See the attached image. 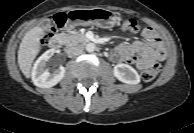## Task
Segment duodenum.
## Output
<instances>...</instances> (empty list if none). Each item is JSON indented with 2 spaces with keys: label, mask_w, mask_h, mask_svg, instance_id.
Masks as SVG:
<instances>
[{
  "label": "duodenum",
  "mask_w": 194,
  "mask_h": 133,
  "mask_svg": "<svg viewBox=\"0 0 194 133\" xmlns=\"http://www.w3.org/2000/svg\"><path fill=\"white\" fill-rule=\"evenodd\" d=\"M75 42L77 43V44H80V43H82V44H85L86 42H92V40L91 39H89V38H85V37H82V38H80V37H77L76 39H75ZM62 43H63V37H62V35H60V34H58V35H55L50 41H49V47L51 48V49H59L61 46H62Z\"/></svg>",
  "instance_id": "obj_1"
}]
</instances>
